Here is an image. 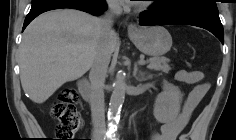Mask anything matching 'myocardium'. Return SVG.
I'll list each match as a JSON object with an SVG mask.
<instances>
[{"label":"myocardium","instance_id":"f54148a6","mask_svg":"<svg viewBox=\"0 0 236 140\" xmlns=\"http://www.w3.org/2000/svg\"><path fill=\"white\" fill-rule=\"evenodd\" d=\"M143 7H145V4H142V5L140 6V8H143Z\"/></svg>","mask_w":236,"mask_h":140}]
</instances>
